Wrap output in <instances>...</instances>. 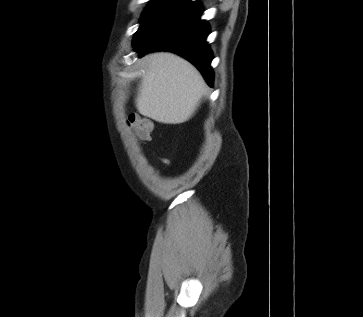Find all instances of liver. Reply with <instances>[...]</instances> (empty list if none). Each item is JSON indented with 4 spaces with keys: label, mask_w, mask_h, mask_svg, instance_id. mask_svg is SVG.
I'll return each instance as SVG.
<instances>
[{
    "label": "liver",
    "mask_w": 363,
    "mask_h": 317,
    "mask_svg": "<svg viewBox=\"0 0 363 317\" xmlns=\"http://www.w3.org/2000/svg\"><path fill=\"white\" fill-rule=\"evenodd\" d=\"M144 62L146 73L135 99L138 112L164 124L188 121L207 90L201 74L169 52L148 54Z\"/></svg>",
    "instance_id": "6515ba94"
}]
</instances>
